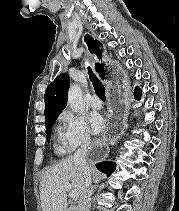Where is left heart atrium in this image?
Returning <instances> with one entry per match:
<instances>
[{
    "label": "left heart atrium",
    "instance_id": "1",
    "mask_svg": "<svg viewBox=\"0 0 179 211\" xmlns=\"http://www.w3.org/2000/svg\"><path fill=\"white\" fill-rule=\"evenodd\" d=\"M89 122L94 133H99L104 128V119L101 115L93 113L89 117Z\"/></svg>",
    "mask_w": 179,
    "mask_h": 211
}]
</instances>
